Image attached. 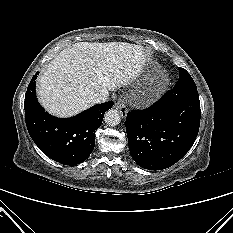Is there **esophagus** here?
Instances as JSON below:
<instances>
[{
  "instance_id": "esophagus-1",
  "label": "esophagus",
  "mask_w": 233,
  "mask_h": 233,
  "mask_svg": "<svg viewBox=\"0 0 233 233\" xmlns=\"http://www.w3.org/2000/svg\"><path fill=\"white\" fill-rule=\"evenodd\" d=\"M115 108L120 112L122 117H126L128 109L126 108L125 102L123 99H119L115 104Z\"/></svg>"
}]
</instances>
